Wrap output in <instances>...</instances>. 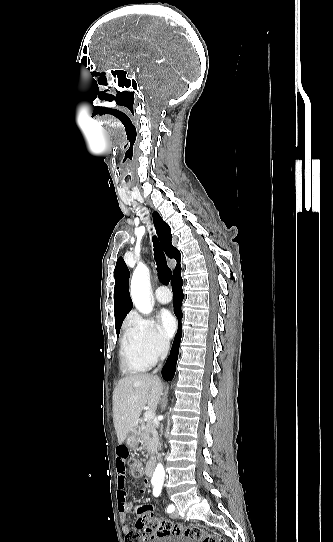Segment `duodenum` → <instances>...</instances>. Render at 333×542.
<instances>
[{"label": "duodenum", "mask_w": 333, "mask_h": 542, "mask_svg": "<svg viewBox=\"0 0 333 542\" xmlns=\"http://www.w3.org/2000/svg\"><path fill=\"white\" fill-rule=\"evenodd\" d=\"M153 471H154V462L152 460H149L146 463L145 473L148 477H151L153 475Z\"/></svg>", "instance_id": "obj_1"}]
</instances>
